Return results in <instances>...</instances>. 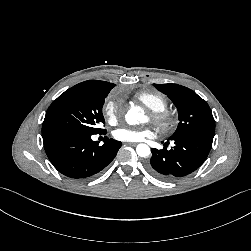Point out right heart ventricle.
<instances>
[{"mask_svg": "<svg viewBox=\"0 0 251 251\" xmlns=\"http://www.w3.org/2000/svg\"><path fill=\"white\" fill-rule=\"evenodd\" d=\"M135 98L153 112H162L168 105L166 97L157 92H139Z\"/></svg>", "mask_w": 251, "mask_h": 251, "instance_id": "1", "label": "right heart ventricle"}]
</instances>
